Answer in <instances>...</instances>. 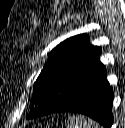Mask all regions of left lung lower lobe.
<instances>
[{"mask_svg": "<svg viewBox=\"0 0 125 128\" xmlns=\"http://www.w3.org/2000/svg\"><path fill=\"white\" fill-rule=\"evenodd\" d=\"M113 98L114 94L106 78L105 66L99 60L82 77L66 105L55 112L81 113L93 118L104 128H111Z\"/></svg>", "mask_w": 125, "mask_h": 128, "instance_id": "0a47b994", "label": "left lung lower lobe"}]
</instances>
